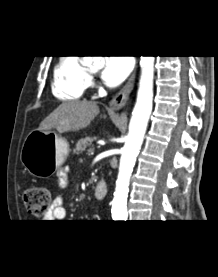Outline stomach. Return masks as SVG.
<instances>
[{
  "label": "stomach",
  "instance_id": "obj_1",
  "mask_svg": "<svg viewBox=\"0 0 218 277\" xmlns=\"http://www.w3.org/2000/svg\"><path fill=\"white\" fill-rule=\"evenodd\" d=\"M68 154L65 138L52 130H35L25 138L20 160L31 175L47 178L65 162Z\"/></svg>",
  "mask_w": 218,
  "mask_h": 277
}]
</instances>
